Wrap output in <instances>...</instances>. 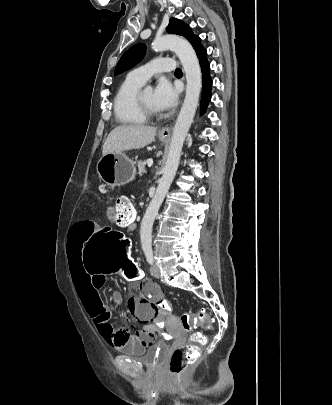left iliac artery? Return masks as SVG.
<instances>
[{"instance_id": "obj_1", "label": "left iliac artery", "mask_w": 332, "mask_h": 405, "mask_svg": "<svg viewBox=\"0 0 332 405\" xmlns=\"http://www.w3.org/2000/svg\"><path fill=\"white\" fill-rule=\"evenodd\" d=\"M143 250H144V253H145V256H146V259H147L148 263L152 264L154 262L152 248L151 247H144Z\"/></svg>"}]
</instances>
